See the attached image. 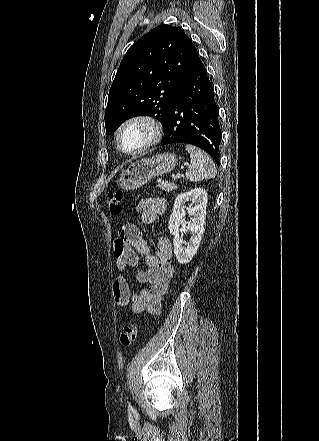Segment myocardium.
Masks as SVG:
<instances>
[{"instance_id":"f54148a6","label":"myocardium","mask_w":319,"mask_h":441,"mask_svg":"<svg viewBox=\"0 0 319 441\" xmlns=\"http://www.w3.org/2000/svg\"><path fill=\"white\" fill-rule=\"evenodd\" d=\"M133 125L144 126L148 131V138L138 148L133 149V150H128L123 147L121 137H122L123 132L127 128H129L130 126H133ZM162 135H163V128H162L160 121L157 118L150 116V115H146V114H139V115H134V116L127 118L126 120H124L120 124V126L118 127V129L116 131L115 140H116L117 147L119 148V150L121 152H123L124 154H127V155L134 156V155L141 154V153L145 152L146 150L150 149L151 147L155 146L161 140Z\"/></svg>"}]
</instances>
